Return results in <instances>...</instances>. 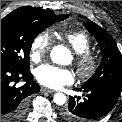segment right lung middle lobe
I'll return each mask as SVG.
<instances>
[{"label":"right lung middle lobe","mask_w":122,"mask_h":122,"mask_svg":"<svg viewBox=\"0 0 122 122\" xmlns=\"http://www.w3.org/2000/svg\"><path fill=\"white\" fill-rule=\"evenodd\" d=\"M61 20L36 18L19 9L2 18L1 63L18 70H28L29 53L34 39L47 27Z\"/></svg>","instance_id":"dd1d6c3e"}]
</instances>
